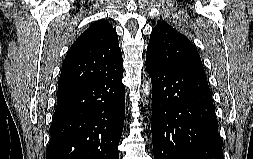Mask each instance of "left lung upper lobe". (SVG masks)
<instances>
[{
	"instance_id": "left-lung-upper-lobe-1",
	"label": "left lung upper lobe",
	"mask_w": 253,
	"mask_h": 159,
	"mask_svg": "<svg viewBox=\"0 0 253 159\" xmlns=\"http://www.w3.org/2000/svg\"><path fill=\"white\" fill-rule=\"evenodd\" d=\"M146 61L160 66L204 71L194 45L187 37L177 32L166 22H160L152 30Z\"/></svg>"
}]
</instances>
